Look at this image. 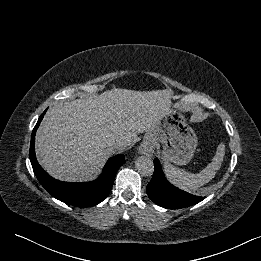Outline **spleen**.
I'll return each instance as SVG.
<instances>
[{
  "instance_id": "obj_1",
  "label": "spleen",
  "mask_w": 261,
  "mask_h": 261,
  "mask_svg": "<svg viewBox=\"0 0 261 261\" xmlns=\"http://www.w3.org/2000/svg\"><path fill=\"white\" fill-rule=\"evenodd\" d=\"M225 156V144L220 143L212 162L198 174H192L179 169L170 163H164L165 174L168 180L180 189L190 191L205 185L214 178L216 172L220 169Z\"/></svg>"
}]
</instances>
